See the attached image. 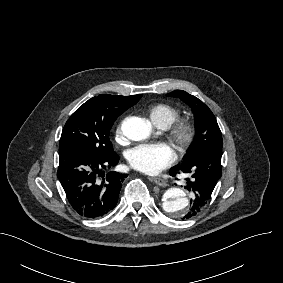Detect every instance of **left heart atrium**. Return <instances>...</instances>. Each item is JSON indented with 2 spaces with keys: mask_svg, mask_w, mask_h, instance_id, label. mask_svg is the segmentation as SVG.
<instances>
[{
  "mask_svg": "<svg viewBox=\"0 0 283 283\" xmlns=\"http://www.w3.org/2000/svg\"><path fill=\"white\" fill-rule=\"evenodd\" d=\"M174 149L167 143L141 144L128 153L132 168L147 175H156L176 160Z\"/></svg>",
  "mask_w": 283,
  "mask_h": 283,
  "instance_id": "obj_1",
  "label": "left heart atrium"
}]
</instances>
